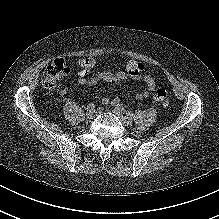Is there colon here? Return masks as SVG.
Segmentation results:
<instances>
[{"mask_svg":"<svg viewBox=\"0 0 219 219\" xmlns=\"http://www.w3.org/2000/svg\"><path fill=\"white\" fill-rule=\"evenodd\" d=\"M86 59V66L90 63ZM70 72V69L64 58L54 59L44 70L42 78V86L46 89H53L62 79H64ZM153 98L157 102H162L166 106L170 104L171 96L164 89H158L153 93Z\"/></svg>","mask_w":219,"mask_h":219,"instance_id":"5ec220e1","label":"colon"}]
</instances>
